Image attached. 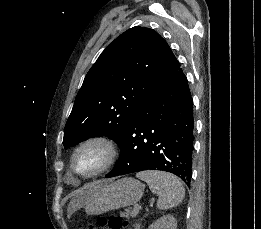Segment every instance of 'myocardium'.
Returning a JSON list of instances; mask_svg holds the SVG:
<instances>
[{"label":"myocardium","instance_id":"1","mask_svg":"<svg viewBox=\"0 0 261 229\" xmlns=\"http://www.w3.org/2000/svg\"><path fill=\"white\" fill-rule=\"evenodd\" d=\"M98 147L104 154L102 164L94 171L86 172L76 166L78 154L88 147ZM117 148L112 139L103 135H94L80 141L73 149L70 159L71 169L79 176L90 178L107 171L115 162Z\"/></svg>","mask_w":261,"mask_h":229}]
</instances>
